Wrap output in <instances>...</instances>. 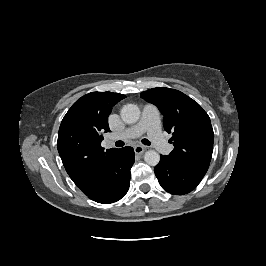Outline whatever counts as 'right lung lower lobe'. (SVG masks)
Wrapping results in <instances>:
<instances>
[{
	"mask_svg": "<svg viewBox=\"0 0 266 266\" xmlns=\"http://www.w3.org/2000/svg\"><path fill=\"white\" fill-rule=\"evenodd\" d=\"M132 147L118 149L111 160L100 186L88 197L98 203L109 204L120 200L130 185V169L134 163Z\"/></svg>",
	"mask_w": 266,
	"mask_h": 266,
	"instance_id": "right-lung-lower-lobe-1",
	"label": "right lung lower lobe"
}]
</instances>
